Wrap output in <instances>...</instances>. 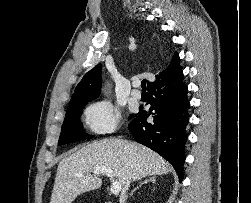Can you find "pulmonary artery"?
I'll return each instance as SVG.
<instances>
[{
	"label": "pulmonary artery",
	"mask_w": 251,
	"mask_h": 203,
	"mask_svg": "<svg viewBox=\"0 0 251 203\" xmlns=\"http://www.w3.org/2000/svg\"><path fill=\"white\" fill-rule=\"evenodd\" d=\"M131 95L134 99H140L141 98V92L137 89H133L131 92Z\"/></svg>",
	"instance_id": "pulmonary-artery-1"
}]
</instances>
